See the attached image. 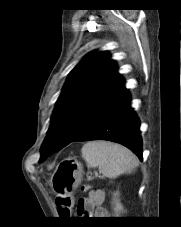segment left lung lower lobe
Masks as SVG:
<instances>
[{
    "mask_svg": "<svg viewBox=\"0 0 181 227\" xmlns=\"http://www.w3.org/2000/svg\"><path fill=\"white\" fill-rule=\"evenodd\" d=\"M108 140L120 143L142 160L140 123L123 83L92 114L82 132L72 141Z\"/></svg>",
    "mask_w": 181,
    "mask_h": 227,
    "instance_id": "0a47b994",
    "label": "left lung lower lobe"
}]
</instances>
